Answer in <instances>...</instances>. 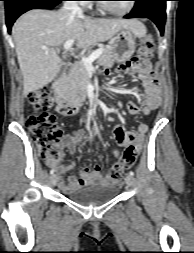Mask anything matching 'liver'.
Segmentation results:
<instances>
[{"label": "liver", "instance_id": "1", "mask_svg": "<svg viewBox=\"0 0 194 253\" xmlns=\"http://www.w3.org/2000/svg\"><path fill=\"white\" fill-rule=\"evenodd\" d=\"M122 28L130 29L138 37L146 34V27L137 19H90L64 9H35L23 14L12 28L23 75V94L26 96L55 79L62 66L59 47L66 41L74 39L78 48H86L107 41Z\"/></svg>", "mask_w": 194, "mask_h": 253}]
</instances>
